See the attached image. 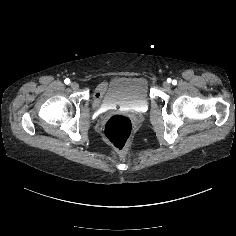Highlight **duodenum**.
<instances>
[{
  "instance_id": "410a0bca",
  "label": "duodenum",
  "mask_w": 236,
  "mask_h": 236,
  "mask_svg": "<svg viewBox=\"0 0 236 236\" xmlns=\"http://www.w3.org/2000/svg\"><path fill=\"white\" fill-rule=\"evenodd\" d=\"M100 97H101V90L97 89L94 94V102L96 105L99 103Z\"/></svg>"
}]
</instances>
